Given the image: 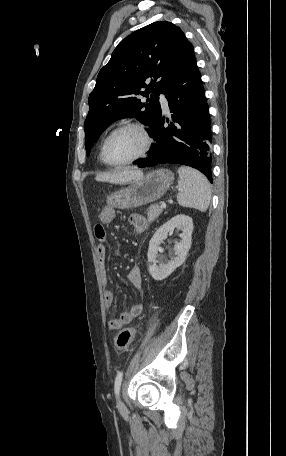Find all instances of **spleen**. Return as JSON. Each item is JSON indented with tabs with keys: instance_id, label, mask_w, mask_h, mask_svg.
<instances>
[{
	"instance_id": "1",
	"label": "spleen",
	"mask_w": 286,
	"mask_h": 456,
	"mask_svg": "<svg viewBox=\"0 0 286 456\" xmlns=\"http://www.w3.org/2000/svg\"><path fill=\"white\" fill-rule=\"evenodd\" d=\"M178 174L179 205L205 212L211 199V189L206 177L199 171L185 166L178 169Z\"/></svg>"
}]
</instances>
